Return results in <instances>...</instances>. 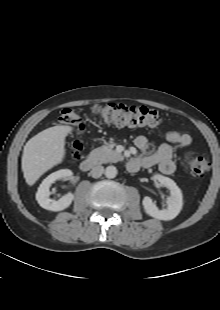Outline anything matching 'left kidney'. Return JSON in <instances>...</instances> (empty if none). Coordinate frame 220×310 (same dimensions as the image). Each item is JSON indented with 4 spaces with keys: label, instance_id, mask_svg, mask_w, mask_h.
<instances>
[{
    "label": "left kidney",
    "instance_id": "obj_1",
    "mask_svg": "<svg viewBox=\"0 0 220 310\" xmlns=\"http://www.w3.org/2000/svg\"><path fill=\"white\" fill-rule=\"evenodd\" d=\"M154 179L158 180L160 184L170 190V196L167 198V209L159 210L153 203L152 199L148 196L144 197L142 204L145 212L159 220H172L174 219L182 209L183 206V195L180 188L176 183L165 176L155 175Z\"/></svg>",
    "mask_w": 220,
    "mask_h": 310
}]
</instances>
